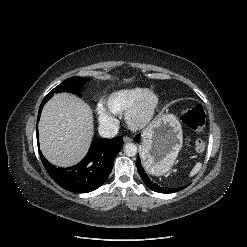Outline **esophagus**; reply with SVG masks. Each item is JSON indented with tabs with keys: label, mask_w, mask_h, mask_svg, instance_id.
Wrapping results in <instances>:
<instances>
[{
	"label": "esophagus",
	"mask_w": 247,
	"mask_h": 247,
	"mask_svg": "<svg viewBox=\"0 0 247 247\" xmlns=\"http://www.w3.org/2000/svg\"><path fill=\"white\" fill-rule=\"evenodd\" d=\"M123 140H124L125 143H127V142H131L133 139L131 137H129V136H124Z\"/></svg>",
	"instance_id": "1"
}]
</instances>
